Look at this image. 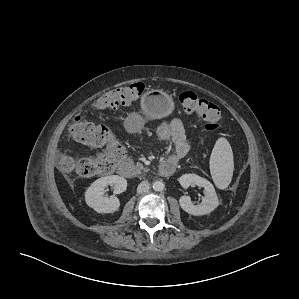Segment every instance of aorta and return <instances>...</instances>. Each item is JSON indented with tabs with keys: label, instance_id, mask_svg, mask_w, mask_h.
<instances>
[{
	"label": "aorta",
	"instance_id": "762f6f07",
	"mask_svg": "<svg viewBox=\"0 0 299 299\" xmlns=\"http://www.w3.org/2000/svg\"><path fill=\"white\" fill-rule=\"evenodd\" d=\"M164 187H165V185H164V183L162 181H155L153 183V189L155 191H158V192L163 191Z\"/></svg>",
	"mask_w": 299,
	"mask_h": 299
}]
</instances>
